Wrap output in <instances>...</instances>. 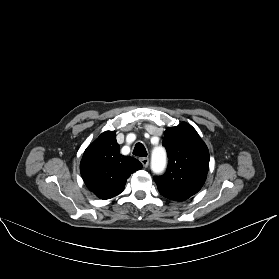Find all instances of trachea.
Segmentation results:
<instances>
[{"instance_id": "obj_1", "label": "trachea", "mask_w": 279, "mask_h": 279, "mask_svg": "<svg viewBox=\"0 0 279 279\" xmlns=\"http://www.w3.org/2000/svg\"><path fill=\"white\" fill-rule=\"evenodd\" d=\"M133 154L139 157H146L147 151L145 146L142 143L138 142L134 147Z\"/></svg>"}]
</instances>
